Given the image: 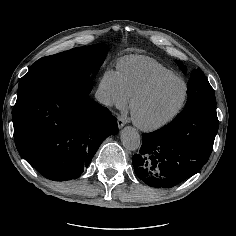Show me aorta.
Masks as SVG:
<instances>
[{"instance_id":"aorta-1","label":"aorta","mask_w":236,"mask_h":236,"mask_svg":"<svg viewBox=\"0 0 236 236\" xmlns=\"http://www.w3.org/2000/svg\"><path fill=\"white\" fill-rule=\"evenodd\" d=\"M121 142L129 151H136L141 145V138L137 130L133 127H125L121 131Z\"/></svg>"}]
</instances>
